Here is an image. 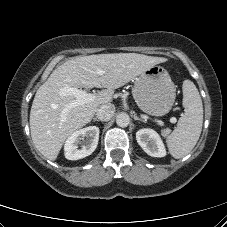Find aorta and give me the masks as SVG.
Listing matches in <instances>:
<instances>
[{
    "label": "aorta",
    "instance_id": "obj_1",
    "mask_svg": "<svg viewBox=\"0 0 227 227\" xmlns=\"http://www.w3.org/2000/svg\"><path fill=\"white\" fill-rule=\"evenodd\" d=\"M130 123V117L126 113H120L116 117V124L119 127H127Z\"/></svg>",
    "mask_w": 227,
    "mask_h": 227
}]
</instances>
